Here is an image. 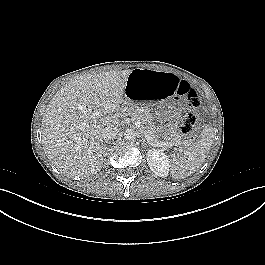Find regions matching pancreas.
<instances>
[{
  "instance_id": "cf45deb5",
  "label": "pancreas",
  "mask_w": 265,
  "mask_h": 265,
  "mask_svg": "<svg viewBox=\"0 0 265 265\" xmlns=\"http://www.w3.org/2000/svg\"><path fill=\"white\" fill-rule=\"evenodd\" d=\"M121 112L124 115H130L132 117V120L135 122H140L141 130L147 134L150 135L153 139L154 142H161L155 135H154V128L152 125L148 123V121L151 118V115L149 114L148 111H146L143 108H140L136 105L133 104H127L124 106V108L121 110ZM165 137V142L172 143L173 141L171 140L170 137L167 135Z\"/></svg>"
}]
</instances>
